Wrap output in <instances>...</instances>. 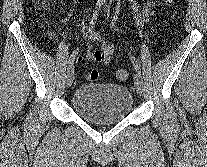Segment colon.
<instances>
[{
  "instance_id": "colon-1",
  "label": "colon",
  "mask_w": 207,
  "mask_h": 167,
  "mask_svg": "<svg viewBox=\"0 0 207 167\" xmlns=\"http://www.w3.org/2000/svg\"><path fill=\"white\" fill-rule=\"evenodd\" d=\"M34 1L39 7V9H45L49 4V0H34ZM173 2L174 0H166V3L169 5L172 4ZM128 76H129L128 72L124 69L117 71V78L119 80L125 81L128 79ZM87 78L91 81H96L98 79V72L96 70L91 71L87 75Z\"/></svg>"
}]
</instances>
